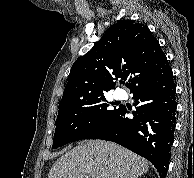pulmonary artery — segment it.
<instances>
[{
	"label": "pulmonary artery",
	"mask_w": 194,
	"mask_h": 178,
	"mask_svg": "<svg viewBox=\"0 0 194 178\" xmlns=\"http://www.w3.org/2000/svg\"><path fill=\"white\" fill-rule=\"evenodd\" d=\"M114 96H115L116 99H122L124 97V94L121 91H116L114 93Z\"/></svg>",
	"instance_id": "obj_1"
}]
</instances>
